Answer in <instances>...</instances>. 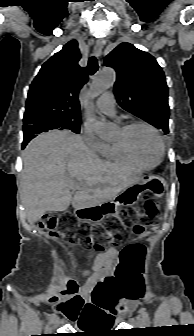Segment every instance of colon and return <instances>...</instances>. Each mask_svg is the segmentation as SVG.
<instances>
[{
  "label": "colon",
  "instance_id": "1",
  "mask_svg": "<svg viewBox=\"0 0 194 336\" xmlns=\"http://www.w3.org/2000/svg\"><path fill=\"white\" fill-rule=\"evenodd\" d=\"M142 205L143 211L139 215L129 211L121 213L124 225L129 226L136 235L141 234L147 225L154 224L159 215L158 205L150 196L143 197ZM74 226L75 222L69 213L49 214L41 221L42 229L51 237L58 238L63 235L69 242L92 246L97 252L102 251L107 243H120L125 238V228L118 223H113L108 231L100 225H94L83 236L74 232ZM142 257L143 249L138 245L126 247L120 255L116 269V281L122 290L118 297L120 304L137 296V284L132 279V273L142 266ZM50 301L55 303L57 310L70 321H77L86 305L77 292V284L72 280L66 283L59 297L54 295Z\"/></svg>",
  "mask_w": 194,
  "mask_h": 336
}]
</instances>
